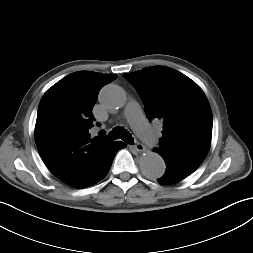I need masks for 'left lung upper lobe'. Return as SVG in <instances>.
<instances>
[{
  "label": "left lung upper lobe",
  "mask_w": 253,
  "mask_h": 253,
  "mask_svg": "<svg viewBox=\"0 0 253 253\" xmlns=\"http://www.w3.org/2000/svg\"><path fill=\"white\" fill-rule=\"evenodd\" d=\"M123 76L137 89L148 120L163 122L160 147L154 150L203 162L211 144L212 112L202 89L166 66Z\"/></svg>",
  "instance_id": "1"
}]
</instances>
